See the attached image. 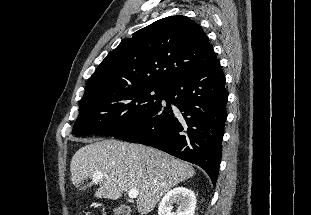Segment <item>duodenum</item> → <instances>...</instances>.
I'll return each instance as SVG.
<instances>
[{
    "mask_svg": "<svg viewBox=\"0 0 311 215\" xmlns=\"http://www.w3.org/2000/svg\"><path fill=\"white\" fill-rule=\"evenodd\" d=\"M118 215H130L129 209L126 206H122L118 210Z\"/></svg>",
    "mask_w": 311,
    "mask_h": 215,
    "instance_id": "duodenum-1",
    "label": "duodenum"
}]
</instances>
